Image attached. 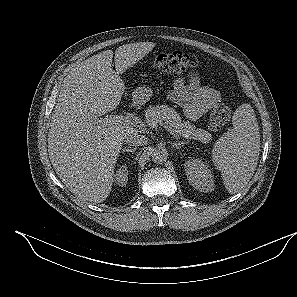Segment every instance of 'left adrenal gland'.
<instances>
[{
    "label": "left adrenal gland",
    "mask_w": 297,
    "mask_h": 297,
    "mask_svg": "<svg viewBox=\"0 0 297 297\" xmlns=\"http://www.w3.org/2000/svg\"><path fill=\"white\" fill-rule=\"evenodd\" d=\"M187 142H177V143H172V146L176 149H180L184 144H186Z\"/></svg>",
    "instance_id": "left-adrenal-gland-1"
}]
</instances>
